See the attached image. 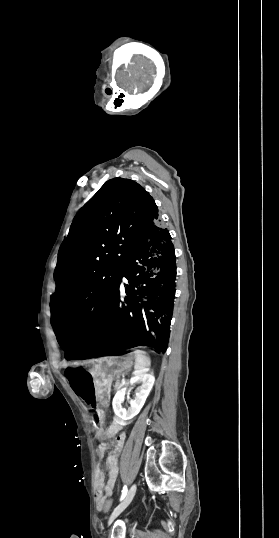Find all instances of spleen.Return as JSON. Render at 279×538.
Listing matches in <instances>:
<instances>
[{"label": "spleen", "mask_w": 279, "mask_h": 538, "mask_svg": "<svg viewBox=\"0 0 279 538\" xmlns=\"http://www.w3.org/2000/svg\"><path fill=\"white\" fill-rule=\"evenodd\" d=\"M135 356V370H146V368H150L151 366V360L149 356H147L146 352H142V350H135V352H132Z\"/></svg>", "instance_id": "obj_1"}]
</instances>
